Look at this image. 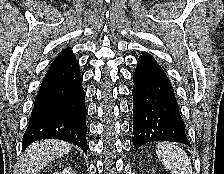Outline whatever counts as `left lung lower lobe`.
Wrapping results in <instances>:
<instances>
[{
	"mask_svg": "<svg viewBox=\"0 0 224 174\" xmlns=\"http://www.w3.org/2000/svg\"><path fill=\"white\" fill-rule=\"evenodd\" d=\"M133 144L176 141L190 146L173 86L155 59L143 53L133 74Z\"/></svg>",
	"mask_w": 224,
	"mask_h": 174,
	"instance_id": "obj_1",
	"label": "left lung lower lobe"
}]
</instances>
